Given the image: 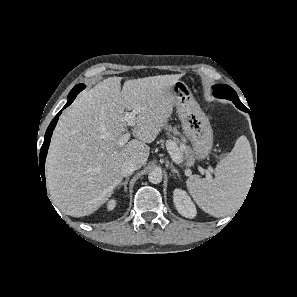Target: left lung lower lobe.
<instances>
[{
    "label": "left lung lower lobe",
    "instance_id": "left-lung-lower-lobe-1",
    "mask_svg": "<svg viewBox=\"0 0 297 297\" xmlns=\"http://www.w3.org/2000/svg\"><path fill=\"white\" fill-rule=\"evenodd\" d=\"M236 107L239 108V109L242 110V111H245V112H248L249 114H251L250 111H249V109H247V108H246L245 106H243V105H236ZM251 118H252V116H251Z\"/></svg>",
    "mask_w": 297,
    "mask_h": 297
}]
</instances>
